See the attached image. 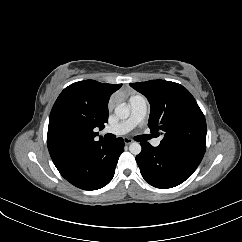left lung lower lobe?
<instances>
[{"label":"left lung lower lobe","instance_id":"obj_1","mask_svg":"<svg viewBox=\"0 0 242 242\" xmlns=\"http://www.w3.org/2000/svg\"><path fill=\"white\" fill-rule=\"evenodd\" d=\"M140 144L142 151L136 156V161L141 175L150 185L161 189L184 182L196 170L204 155L162 144L158 147L148 142Z\"/></svg>","mask_w":242,"mask_h":242}]
</instances>
